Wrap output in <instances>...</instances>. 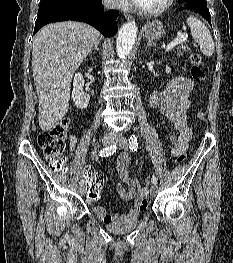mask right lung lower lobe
Wrapping results in <instances>:
<instances>
[{"mask_svg": "<svg viewBox=\"0 0 233 263\" xmlns=\"http://www.w3.org/2000/svg\"><path fill=\"white\" fill-rule=\"evenodd\" d=\"M118 14L119 12L117 10L103 12L102 0H79L73 11L56 12L37 19L33 34L51 22L76 20L89 23L104 36L111 37L118 31L116 22Z\"/></svg>", "mask_w": 233, "mask_h": 263, "instance_id": "98d812e1", "label": "right lung lower lobe"}]
</instances>
